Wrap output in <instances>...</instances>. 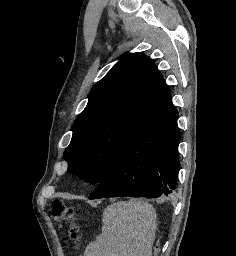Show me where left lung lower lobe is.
Here are the masks:
<instances>
[{"label":"left lung lower lobe","mask_w":236,"mask_h":256,"mask_svg":"<svg viewBox=\"0 0 236 256\" xmlns=\"http://www.w3.org/2000/svg\"><path fill=\"white\" fill-rule=\"evenodd\" d=\"M177 118L171 101L149 115L132 133L115 166L89 199L157 198L171 193L180 169Z\"/></svg>","instance_id":"0a47b994"}]
</instances>
